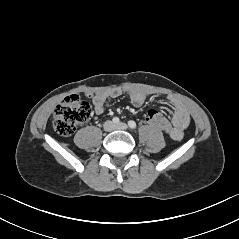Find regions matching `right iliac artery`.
I'll return each mask as SVG.
<instances>
[{
    "label": "right iliac artery",
    "instance_id": "1",
    "mask_svg": "<svg viewBox=\"0 0 239 239\" xmlns=\"http://www.w3.org/2000/svg\"><path fill=\"white\" fill-rule=\"evenodd\" d=\"M112 121H113V123L118 124L120 120H119L118 117H114V118L112 119Z\"/></svg>",
    "mask_w": 239,
    "mask_h": 239
}]
</instances>
